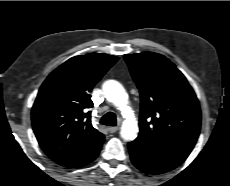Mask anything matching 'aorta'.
Segmentation results:
<instances>
[{
    "label": "aorta",
    "mask_w": 230,
    "mask_h": 186,
    "mask_svg": "<svg viewBox=\"0 0 230 186\" xmlns=\"http://www.w3.org/2000/svg\"><path fill=\"white\" fill-rule=\"evenodd\" d=\"M102 89L108 101L112 102L120 110L128 108V95L124 87L115 80L104 82ZM138 124L134 116L129 115L124 120L120 135L126 141L134 140L137 137Z\"/></svg>",
    "instance_id": "1"
}]
</instances>
